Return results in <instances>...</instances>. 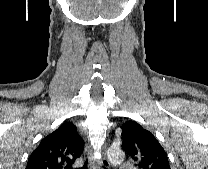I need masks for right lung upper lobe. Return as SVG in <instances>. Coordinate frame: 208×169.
<instances>
[{
  "label": "right lung upper lobe",
  "instance_id": "right-lung-upper-lobe-1",
  "mask_svg": "<svg viewBox=\"0 0 208 169\" xmlns=\"http://www.w3.org/2000/svg\"><path fill=\"white\" fill-rule=\"evenodd\" d=\"M84 142L76 126L64 122L32 152L25 169H72L83 152Z\"/></svg>",
  "mask_w": 208,
  "mask_h": 169
}]
</instances>
